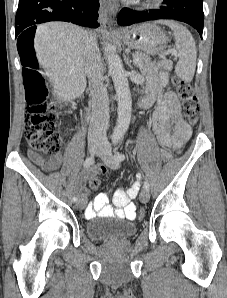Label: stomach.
Returning <instances> with one entry per match:
<instances>
[{
	"instance_id": "stomach-1",
	"label": "stomach",
	"mask_w": 227,
	"mask_h": 298,
	"mask_svg": "<svg viewBox=\"0 0 227 298\" xmlns=\"http://www.w3.org/2000/svg\"><path fill=\"white\" fill-rule=\"evenodd\" d=\"M123 42L149 55L162 52L168 43L164 31L154 23H143L126 30L122 35Z\"/></svg>"
}]
</instances>
